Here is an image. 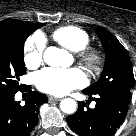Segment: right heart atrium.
Returning <instances> with one entry per match:
<instances>
[{"label":"right heart atrium","mask_w":136,"mask_h":136,"mask_svg":"<svg viewBox=\"0 0 136 136\" xmlns=\"http://www.w3.org/2000/svg\"><path fill=\"white\" fill-rule=\"evenodd\" d=\"M46 41L41 33L31 35L24 47V62L28 68H36L40 65L45 49Z\"/></svg>","instance_id":"obj_1"}]
</instances>
